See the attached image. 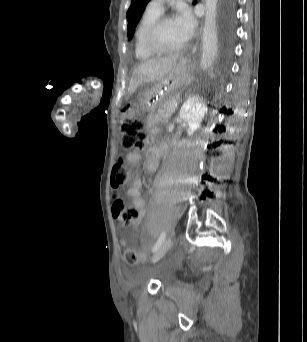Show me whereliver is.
Returning <instances> with one entry per match:
<instances>
[{
    "label": "liver",
    "mask_w": 307,
    "mask_h": 342,
    "mask_svg": "<svg viewBox=\"0 0 307 342\" xmlns=\"http://www.w3.org/2000/svg\"><path fill=\"white\" fill-rule=\"evenodd\" d=\"M178 56L179 54H174L168 58H153V60H145L143 64H139L133 70L132 78H130L128 96H131L141 84L156 82V80L164 78L168 72H171Z\"/></svg>",
    "instance_id": "1"
}]
</instances>
